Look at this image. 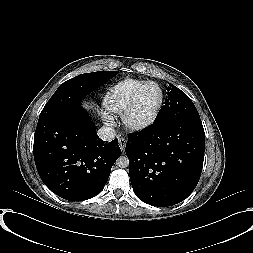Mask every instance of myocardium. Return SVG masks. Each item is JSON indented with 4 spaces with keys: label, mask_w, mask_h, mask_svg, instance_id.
<instances>
[{
    "label": "myocardium",
    "mask_w": 253,
    "mask_h": 253,
    "mask_svg": "<svg viewBox=\"0 0 253 253\" xmlns=\"http://www.w3.org/2000/svg\"><path fill=\"white\" fill-rule=\"evenodd\" d=\"M148 85H155L159 89L160 101H159L156 109L152 113V115L149 117V119H147L144 122H135L132 119V115L134 113V110L136 109V106L138 104V100H139V97H140L142 91ZM164 100H165V94H164L162 87L155 81H151V80L145 81L135 90L134 94L131 97L130 102L128 103L127 107L125 108L124 112L122 113L123 124L125 125L126 128H128L132 131H135V132H141V131L147 130L157 120V118L161 112V109L163 107Z\"/></svg>",
    "instance_id": "f54148a6"
}]
</instances>
